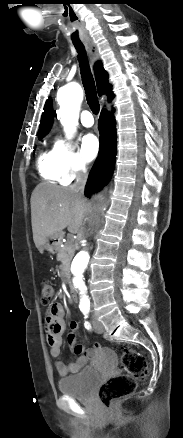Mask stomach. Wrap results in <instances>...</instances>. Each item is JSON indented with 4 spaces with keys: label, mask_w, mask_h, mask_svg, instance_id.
<instances>
[{
    "label": "stomach",
    "mask_w": 183,
    "mask_h": 438,
    "mask_svg": "<svg viewBox=\"0 0 183 438\" xmlns=\"http://www.w3.org/2000/svg\"><path fill=\"white\" fill-rule=\"evenodd\" d=\"M61 239H62L61 234L50 236L46 244L44 245V248L50 253H55L59 249V244L61 242Z\"/></svg>",
    "instance_id": "stomach-1"
}]
</instances>
